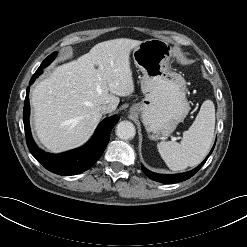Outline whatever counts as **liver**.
<instances>
[{"instance_id": "obj_1", "label": "liver", "mask_w": 247, "mask_h": 247, "mask_svg": "<svg viewBox=\"0 0 247 247\" xmlns=\"http://www.w3.org/2000/svg\"><path fill=\"white\" fill-rule=\"evenodd\" d=\"M140 43L127 38L98 43L36 85L34 128L47 150L59 153L85 143L102 118L100 106L110 104L114 111L118 96L134 92L130 52Z\"/></svg>"}]
</instances>
